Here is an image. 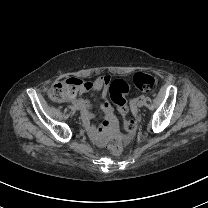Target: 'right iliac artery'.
I'll use <instances>...</instances> for the list:
<instances>
[{"label": "right iliac artery", "instance_id": "obj_1", "mask_svg": "<svg viewBox=\"0 0 208 208\" xmlns=\"http://www.w3.org/2000/svg\"><path fill=\"white\" fill-rule=\"evenodd\" d=\"M72 104H73L74 106H76V102H75V101H72Z\"/></svg>", "mask_w": 208, "mask_h": 208}]
</instances>
